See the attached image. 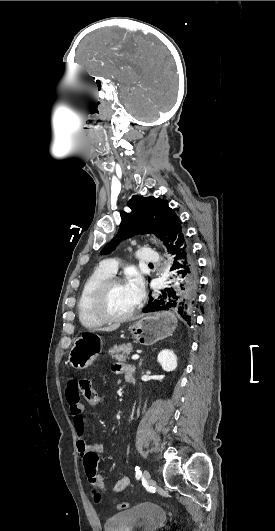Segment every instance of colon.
<instances>
[{"label": "colon", "mask_w": 275, "mask_h": 531, "mask_svg": "<svg viewBox=\"0 0 275 531\" xmlns=\"http://www.w3.org/2000/svg\"><path fill=\"white\" fill-rule=\"evenodd\" d=\"M80 392H85L83 394V399L91 405H97L100 402V398L97 390L96 381H92L91 378H86L85 381H80L79 383ZM94 494H98V491H94ZM95 499H98V496H95ZM129 504L127 502H119L116 507L119 512L125 511L128 509Z\"/></svg>", "instance_id": "1"}]
</instances>
